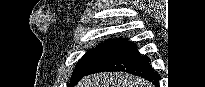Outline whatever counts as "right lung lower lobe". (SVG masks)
Here are the masks:
<instances>
[{
    "mask_svg": "<svg viewBox=\"0 0 205 87\" xmlns=\"http://www.w3.org/2000/svg\"><path fill=\"white\" fill-rule=\"evenodd\" d=\"M149 62L148 57L139 54L134 43L125 42L94 64L84 76L104 71H124L159 86L160 76L152 70Z\"/></svg>",
    "mask_w": 205,
    "mask_h": 87,
    "instance_id": "98d812e1",
    "label": "right lung lower lobe"
}]
</instances>
